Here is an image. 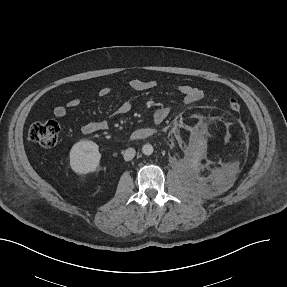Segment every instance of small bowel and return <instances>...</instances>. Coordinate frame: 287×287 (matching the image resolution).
<instances>
[{
    "label": "small bowel",
    "instance_id": "small-bowel-1",
    "mask_svg": "<svg viewBox=\"0 0 287 287\" xmlns=\"http://www.w3.org/2000/svg\"><path fill=\"white\" fill-rule=\"evenodd\" d=\"M129 86L135 91H148L156 87V83L151 80H143L134 78L129 81ZM112 89L108 86H104L99 90V95L102 97L108 96ZM179 93L183 96V100L186 104H193L200 101L204 97V92L192 85L183 84L178 87ZM79 105L77 98L70 99L66 104H58L54 107V115L58 118H62L66 115L68 108H75ZM132 102L129 100L123 101L114 111L113 116H120L129 113L132 110ZM171 108L168 106L158 108L153 115V121L156 125H161L169 116ZM109 128L107 121H92L82 125L81 131L84 134H93L98 131H104Z\"/></svg>",
    "mask_w": 287,
    "mask_h": 287
}]
</instances>
